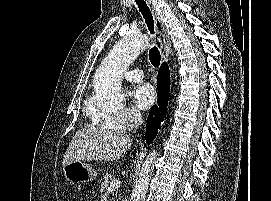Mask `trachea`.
<instances>
[{
  "mask_svg": "<svg viewBox=\"0 0 271 201\" xmlns=\"http://www.w3.org/2000/svg\"><path fill=\"white\" fill-rule=\"evenodd\" d=\"M140 12L142 13L145 22L147 24V27L150 31L151 34H154V21H153V16L151 14V11L149 7L147 6L146 2L144 0H135ZM149 60L151 64L155 67L158 68L160 65V60H161V55L156 46L152 47L149 51Z\"/></svg>",
  "mask_w": 271,
  "mask_h": 201,
  "instance_id": "1",
  "label": "trachea"
}]
</instances>
